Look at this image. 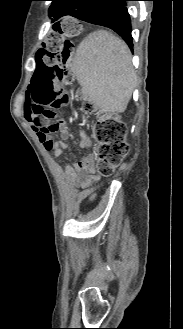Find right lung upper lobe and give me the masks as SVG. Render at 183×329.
I'll return each instance as SVG.
<instances>
[{
  "mask_svg": "<svg viewBox=\"0 0 183 329\" xmlns=\"http://www.w3.org/2000/svg\"><path fill=\"white\" fill-rule=\"evenodd\" d=\"M56 1H59V0H52V5H53L54 2H56ZM52 5H51V6H52ZM51 6H50V7H51ZM49 15H50V16H53V17L55 16L54 13H53L52 11H50V10H49Z\"/></svg>",
  "mask_w": 183,
  "mask_h": 329,
  "instance_id": "cb5924a9",
  "label": "right lung upper lobe"
}]
</instances>
